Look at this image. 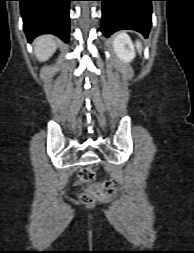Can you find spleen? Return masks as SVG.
I'll use <instances>...</instances> for the list:
<instances>
[{
	"instance_id": "spleen-1",
	"label": "spleen",
	"mask_w": 194,
	"mask_h": 253,
	"mask_svg": "<svg viewBox=\"0 0 194 253\" xmlns=\"http://www.w3.org/2000/svg\"><path fill=\"white\" fill-rule=\"evenodd\" d=\"M136 47H137L138 52L141 53L142 52V45L139 41L136 42Z\"/></svg>"
}]
</instances>
